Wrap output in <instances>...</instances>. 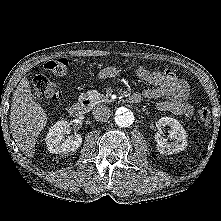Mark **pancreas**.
<instances>
[{
	"label": "pancreas",
	"mask_w": 221,
	"mask_h": 221,
	"mask_svg": "<svg viewBox=\"0 0 221 221\" xmlns=\"http://www.w3.org/2000/svg\"><path fill=\"white\" fill-rule=\"evenodd\" d=\"M88 96L94 100V101H97V102H107L108 99L107 97H105L104 95L100 94V93H97V92H89L88 93Z\"/></svg>",
	"instance_id": "cf45deb5"
}]
</instances>
